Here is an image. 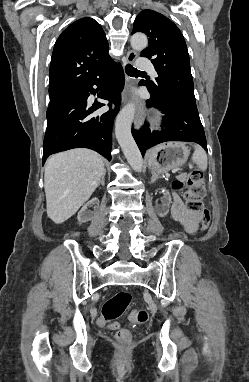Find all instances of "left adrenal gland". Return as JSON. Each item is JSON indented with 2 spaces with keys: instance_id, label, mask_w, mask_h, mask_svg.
Here are the masks:
<instances>
[{
  "instance_id": "left-adrenal-gland-1",
  "label": "left adrenal gland",
  "mask_w": 249,
  "mask_h": 382,
  "mask_svg": "<svg viewBox=\"0 0 249 382\" xmlns=\"http://www.w3.org/2000/svg\"><path fill=\"white\" fill-rule=\"evenodd\" d=\"M158 175L155 173V172H152V178H151V182H155L157 179H158Z\"/></svg>"
}]
</instances>
